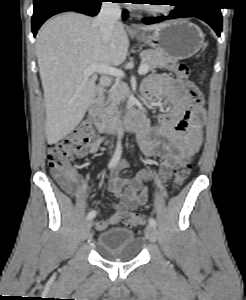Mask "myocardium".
Listing matches in <instances>:
<instances>
[{
	"mask_svg": "<svg viewBox=\"0 0 246 300\" xmlns=\"http://www.w3.org/2000/svg\"><path fill=\"white\" fill-rule=\"evenodd\" d=\"M143 9L146 11H149L150 13H153V14L166 15L173 11L174 5L170 4V5L166 6L165 8H158V9H154V8H151L150 6L144 5Z\"/></svg>",
	"mask_w": 246,
	"mask_h": 300,
	"instance_id": "myocardium-1",
	"label": "myocardium"
}]
</instances>
